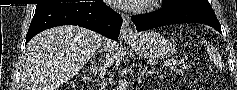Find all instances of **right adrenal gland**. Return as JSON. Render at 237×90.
I'll list each match as a JSON object with an SVG mask.
<instances>
[{"label":"right adrenal gland","instance_id":"right-adrenal-gland-1","mask_svg":"<svg viewBox=\"0 0 237 90\" xmlns=\"http://www.w3.org/2000/svg\"><path fill=\"white\" fill-rule=\"evenodd\" d=\"M92 66L90 68L92 74H90L89 78H83V82H86V80H88V82H92V80H94L96 74H97V66H95V64H93V62H91Z\"/></svg>","mask_w":237,"mask_h":90}]
</instances>
